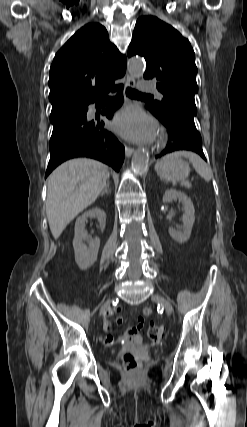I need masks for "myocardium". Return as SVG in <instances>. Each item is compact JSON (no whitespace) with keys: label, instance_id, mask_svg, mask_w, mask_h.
I'll list each match as a JSON object with an SVG mask.
<instances>
[{"label":"myocardium","instance_id":"f54148a6","mask_svg":"<svg viewBox=\"0 0 247 427\" xmlns=\"http://www.w3.org/2000/svg\"><path fill=\"white\" fill-rule=\"evenodd\" d=\"M165 140V135L163 133H161L159 135V143H162Z\"/></svg>","mask_w":247,"mask_h":427}]
</instances>
